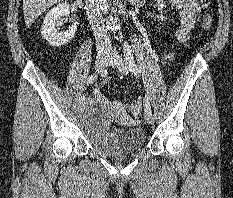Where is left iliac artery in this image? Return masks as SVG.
I'll list each match as a JSON object with an SVG mask.
<instances>
[{"label": "left iliac artery", "mask_w": 233, "mask_h": 198, "mask_svg": "<svg viewBox=\"0 0 233 198\" xmlns=\"http://www.w3.org/2000/svg\"><path fill=\"white\" fill-rule=\"evenodd\" d=\"M124 56H125V61L128 65V68L129 70L134 74V75H140L141 74V71L140 69L138 68L135 60H134V57H133V53H132V50L129 46L128 43H124ZM145 110L146 111H151V106H150V102H149V98L148 96H145Z\"/></svg>", "instance_id": "1"}]
</instances>
